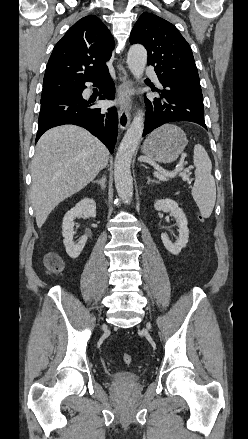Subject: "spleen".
<instances>
[{"label":"spleen","mask_w":248,"mask_h":439,"mask_svg":"<svg viewBox=\"0 0 248 439\" xmlns=\"http://www.w3.org/2000/svg\"><path fill=\"white\" fill-rule=\"evenodd\" d=\"M195 182L191 190L202 216L210 217L215 201L216 186L214 177L211 174L212 163L205 148L197 144L194 146Z\"/></svg>","instance_id":"spleen-1"}]
</instances>
